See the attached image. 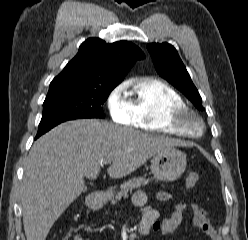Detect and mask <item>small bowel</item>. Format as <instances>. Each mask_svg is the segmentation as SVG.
<instances>
[{
  "label": "small bowel",
  "mask_w": 248,
  "mask_h": 240,
  "mask_svg": "<svg viewBox=\"0 0 248 240\" xmlns=\"http://www.w3.org/2000/svg\"><path fill=\"white\" fill-rule=\"evenodd\" d=\"M172 198L173 195L165 191H161L156 195L158 201H168ZM133 203L144 208L141 220V228L144 233H148L150 230L161 231L162 234H171L178 231L183 221L184 211L190 206L193 212L194 227L204 233L210 240H219V235L211 225L207 212L194 201L191 204L186 201H180L174 211L162 221L159 220L158 210L152 206L145 192H136L133 196ZM73 240L85 239L79 231H75Z\"/></svg>",
  "instance_id": "obj_1"
}]
</instances>
